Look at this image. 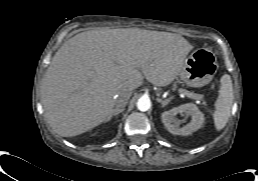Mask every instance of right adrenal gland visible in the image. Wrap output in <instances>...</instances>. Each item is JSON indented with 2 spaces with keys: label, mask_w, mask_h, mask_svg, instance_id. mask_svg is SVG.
<instances>
[{
  "label": "right adrenal gland",
  "mask_w": 258,
  "mask_h": 181,
  "mask_svg": "<svg viewBox=\"0 0 258 181\" xmlns=\"http://www.w3.org/2000/svg\"><path fill=\"white\" fill-rule=\"evenodd\" d=\"M123 111H124V108H122V109H117V108L113 109L112 113L110 114V116L108 117L106 122L109 121L113 116H117L119 113H121Z\"/></svg>",
  "instance_id": "right-adrenal-gland-1"
}]
</instances>
